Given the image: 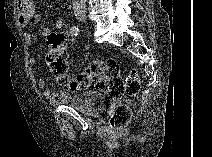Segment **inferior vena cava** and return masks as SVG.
<instances>
[{
  "label": "inferior vena cava",
  "instance_id": "inferior-vena-cava-1",
  "mask_svg": "<svg viewBox=\"0 0 212 157\" xmlns=\"http://www.w3.org/2000/svg\"><path fill=\"white\" fill-rule=\"evenodd\" d=\"M74 10L85 11L86 9V0H74L73 1Z\"/></svg>",
  "mask_w": 212,
  "mask_h": 157
}]
</instances>
